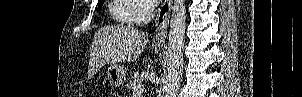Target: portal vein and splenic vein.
Listing matches in <instances>:
<instances>
[{
	"label": "portal vein and splenic vein",
	"instance_id": "18ae733b",
	"mask_svg": "<svg viewBox=\"0 0 302 97\" xmlns=\"http://www.w3.org/2000/svg\"><path fill=\"white\" fill-rule=\"evenodd\" d=\"M142 92H143V85L141 83L133 87V94H140Z\"/></svg>",
	"mask_w": 302,
	"mask_h": 97
}]
</instances>
